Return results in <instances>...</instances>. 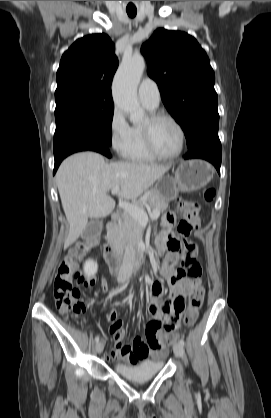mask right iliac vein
I'll return each mask as SVG.
<instances>
[{"label": "right iliac vein", "instance_id": "1", "mask_svg": "<svg viewBox=\"0 0 271 418\" xmlns=\"http://www.w3.org/2000/svg\"><path fill=\"white\" fill-rule=\"evenodd\" d=\"M95 349H96V352L100 354L104 349V342L103 341L97 342Z\"/></svg>", "mask_w": 271, "mask_h": 418}]
</instances>
